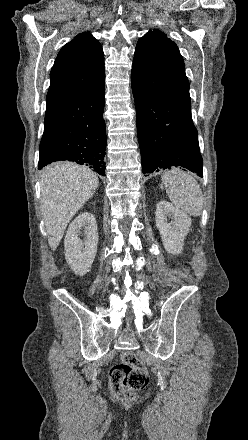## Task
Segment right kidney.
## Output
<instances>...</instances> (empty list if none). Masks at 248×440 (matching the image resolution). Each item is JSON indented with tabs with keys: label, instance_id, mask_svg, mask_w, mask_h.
<instances>
[{
	"label": "right kidney",
	"instance_id": "ca27d5eb",
	"mask_svg": "<svg viewBox=\"0 0 248 440\" xmlns=\"http://www.w3.org/2000/svg\"><path fill=\"white\" fill-rule=\"evenodd\" d=\"M85 236L84 240L80 239ZM98 231L94 215L82 213L68 227L64 240L65 259L76 275L90 271L97 253Z\"/></svg>",
	"mask_w": 248,
	"mask_h": 440
}]
</instances>
